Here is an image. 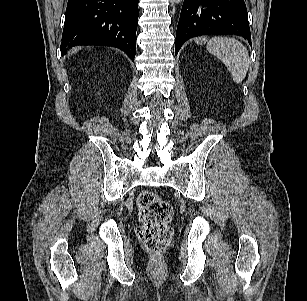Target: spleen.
<instances>
[{"instance_id":"spleen-1","label":"spleen","mask_w":307,"mask_h":301,"mask_svg":"<svg viewBox=\"0 0 307 301\" xmlns=\"http://www.w3.org/2000/svg\"><path fill=\"white\" fill-rule=\"evenodd\" d=\"M207 50L226 65L235 83L243 81L250 59L248 50L240 41L230 37L216 36L208 41Z\"/></svg>"}]
</instances>
